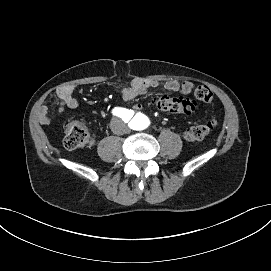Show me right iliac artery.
<instances>
[{
	"label": "right iliac artery",
	"instance_id": "right-iliac-artery-1",
	"mask_svg": "<svg viewBox=\"0 0 271 271\" xmlns=\"http://www.w3.org/2000/svg\"><path fill=\"white\" fill-rule=\"evenodd\" d=\"M113 115H116L122 119H125V118H128V113H129V110L127 109H124V108H121V107H115L112 111Z\"/></svg>",
	"mask_w": 271,
	"mask_h": 271
}]
</instances>
